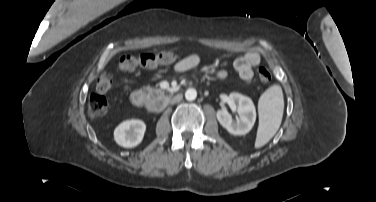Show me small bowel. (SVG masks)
Instances as JSON below:
<instances>
[{"label": "small bowel", "instance_id": "small-bowel-1", "mask_svg": "<svg viewBox=\"0 0 376 202\" xmlns=\"http://www.w3.org/2000/svg\"><path fill=\"white\" fill-rule=\"evenodd\" d=\"M199 62V56L194 53L177 62L172 69L177 73L190 71L192 77H194L198 72ZM260 62L261 54L258 51L250 50L234 61V68L242 80L249 81L253 77V68L259 65ZM213 75L217 79H222L227 73L223 69H217L213 71Z\"/></svg>", "mask_w": 376, "mask_h": 202}]
</instances>
